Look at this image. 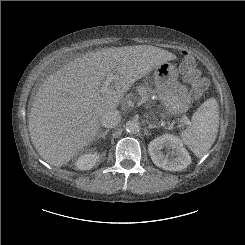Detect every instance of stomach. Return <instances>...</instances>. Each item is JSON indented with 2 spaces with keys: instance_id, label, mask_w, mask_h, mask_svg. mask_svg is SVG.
I'll return each instance as SVG.
<instances>
[{
  "instance_id": "obj_1",
  "label": "stomach",
  "mask_w": 245,
  "mask_h": 245,
  "mask_svg": "<svg viewBox=\"0 0 245 245\" xmlns=\"http://www.w3.org/2000/svg\"><path fill=\"white\" fill-rule=\"evenodd\" d=\"M178 77L177 68L170 62L158 65L153 74L157 96L169 116L185 113L192 103L188 89L179 83Z\"/></svg>"
}]
</instances>
